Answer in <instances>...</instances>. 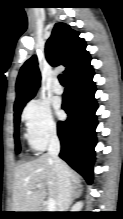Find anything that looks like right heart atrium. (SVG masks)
<instances>
[{
  "mask_svg": "<svg viewBox=\"0 0 123 219\" xmlns=\"http://www.w3.org/2000/svg\"><path fill=\"white\" fill-rule=\"evenodd\" d=\"M27 138L36 151L44 150L57 136V125L50 107L39 100L29 102L22 112Z\"/></svg>",
  "mask_w": 123,
  "mask_h": 219,
  "instance_id": "d8ad5b80",
  "label": "right heart atrium"
}]
</instances>
